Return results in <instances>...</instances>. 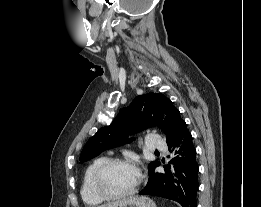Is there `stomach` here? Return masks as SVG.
Returning a JSON list of instances; mask_svg holds the SVG:
<instances>
[{
  "label": "stomach",
  "instance_id": "1",
  "mask_svg": "<svg viewBox=\"0 0 261 207\" xmlns=\"http://www.w3.org/2000/svg\"><path fill=\"white\" fill-rule=\"evenodd\" d=\"M106 207H157L155 202L146 196L129 197L109 203Z\"/></svg>",
  "mask_w": 261,
  "mask_h": 207
}]
</instances>
